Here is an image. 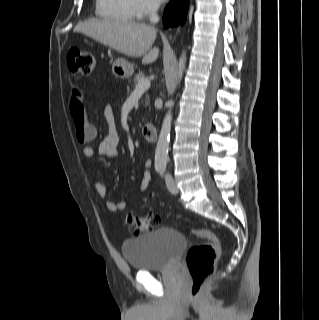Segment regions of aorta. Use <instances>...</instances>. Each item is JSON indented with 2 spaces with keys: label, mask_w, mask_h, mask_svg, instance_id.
Returning a JSON list of instances; mask_svg holds the SVG:
<instances>
[{
  "label": "aorta",
  "mask_w": 319,
  "mask_h": 320,
  "mask_svg": "<svg viewBox=\"0 0 319 320\" xmlns=\"http://www.w3.org/2000/svg\"><path fill=\"white\" fill-rule=\"evenodd\" d=\"M186 63V54L185 52L182 53V56L179 59L178 63V81L181 80L183 71L185 69ZM169 107V111L167 112L162 128L159 134V139L157 142L156 150H155V166L156 167H166L168 161V149H169V142H170V131H171V123H172V112L171 109L174 106V101L171 99L167 103Z\"/></svg>",
  "instance_id": "762f6f07"
}]
</instances>
